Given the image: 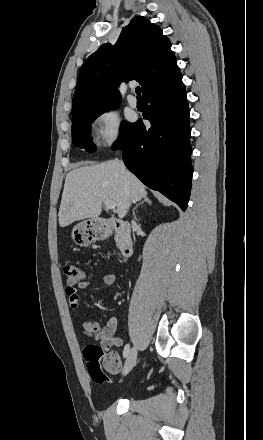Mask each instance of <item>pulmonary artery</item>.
<instances>
[{"instance_id": "1", "label": "pulmonary artery", "mask_w": 263, "mask_h": 440, "mask_svg": "<svg viewBox=\"0 0 263 440\" xmlns=\"http://www.w3.org/2000/svg\"><path fill=\"white\" fill-rule=\"evenodd\" d=\"M128 104L132 107V108H136L137 107V99L135 96L133 95H129L128 98Z\"/></svg>"}]
</instances>
